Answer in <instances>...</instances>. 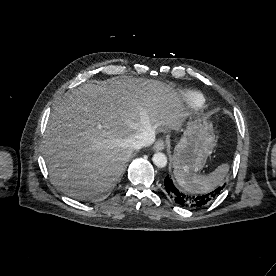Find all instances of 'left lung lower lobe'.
Returning a JSON list of instances; mask_svg holds the SVG:
<instances>
[{
    "instance_id": "left-lung-lower-lobe-1",
    "label": "left lung lower lobe",
    "mask_w": 276,
    "mask_h": 276,
    "mask_svg": "<svg viewBox=\"0 0 276 276\" xmlns=\"http://www.w3.org/2000/svg\"><path fill=\"white\" fill-rule=\"evenodd\" d=\"M163 186L167 194L179 205L184 207H200L205 204L210 203L212 200H214L218 194H220L221 190L224 186L218 187L217 189L210 190L208 192H205L204 194L200 196H192L186 194L181 189H178L171 177L167 175L164 179Z\"/></svg>"
}]
</instances>
